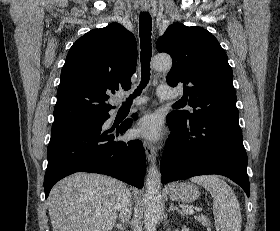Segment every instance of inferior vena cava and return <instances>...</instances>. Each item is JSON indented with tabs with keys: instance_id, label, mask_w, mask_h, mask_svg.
<instances>
[{
	"instance_id": "obj_1",
	"label": "inferior vena cava",
	"mask_w": 280,
	"mask_h": 231,
	"mask_svg": "<svg viewBox=\"0 0 280 231\" xmlns=\"http://www.w3.org/2000/svg\"><path fill=\"white\" fill-rule=\"evenodd\" d=\"M119 217L121 221H127V219H130L131 217V211H132V197L129 189L125 187L123 191V197L120 199L119 203Z\"/></svg>"
}]
</instances>
